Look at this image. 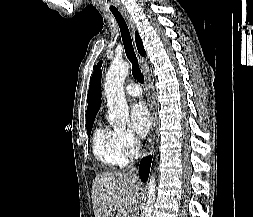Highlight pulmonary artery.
I'll use <instances>...</instances> for the list:
<instances>
[{
    "mask_svg": "<svg viewBox=\"0 0 253 217\" xmlns=\"http://www.w3.org/2000/svg\"><path fill=\"white\" fill-rule=\"evenodd\" d=\"M125 92L132 96V97H138L142 94V90L140 86L136 83H130L125 87Z\"/></svg>",
    "mask_w": 253,
    "mask_h": 217,
    "instance_id": "1",
    "label": "pulmonary artery"
}]
</instances>
